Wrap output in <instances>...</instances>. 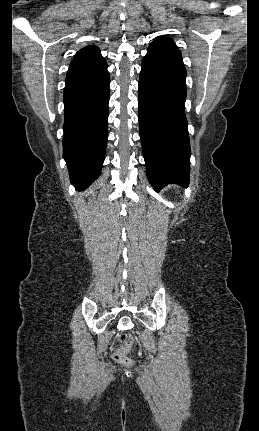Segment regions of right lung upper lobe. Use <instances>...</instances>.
<instances>
[{
	"label": "right lung upper lobe",
	"instance_id": "cb5924a9",
	"mask_svg": "<svg viewBox=\"0 0 259 431\" xmlns=\"http://www.w3.org/2000/svg\"><path fill=\"white\" fill-rule=\"evenodd\" d=\"M105 63L98 47L87 46L79 50L70 63L67 74L91 69Z\"/></svg>",
	"mask_w": 259,
	"mask_h": 431
}]
</instances>
